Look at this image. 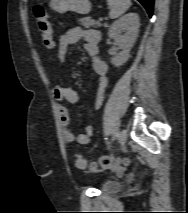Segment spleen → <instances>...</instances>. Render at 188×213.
I'll return each instance as SVG.
<instances>
[{
	"mask_svg": "<svg viewBox=\"0 0 188 213\" xmlns=\"http://www.w3.org/2000/svg\"><path fill=\"white\" fill-rule=\"evenodd\" d=\"M111 19H116L125 13L131 6V0H107Z\"/></svg>",
	"mask_w": 188,
	"mask_h": 213,
	"instance_id": "spleen-1",
	"label": "spleen"
}]
</instances>
